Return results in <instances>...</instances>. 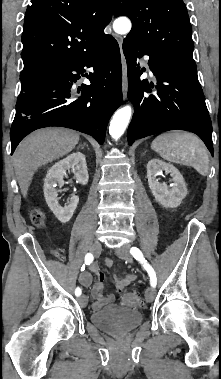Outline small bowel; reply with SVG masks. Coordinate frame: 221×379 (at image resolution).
<instances>
[{"mask_svg":"<svg viewBox=\"0 0 221 379\" xmlns=\"http://www.w3.org/2000/svg\"><path fill=\"white\" fill-rule=\"evenodd\" d=\"M107 267H112L113 262L110 259L105 261ZM89 271H84L79 277L80 283L88 287L92 284L93 276L96 278V282L92 287L91 295L94 298L93 309L99 310L107 304H110L114 301V295L112 293L103 294V283L105 280L104 274L99 270L96 264H91L89 266ZM135 279V276L132 274H125L121 277H115V288L118 292H122L126 286L132 283Z\"/></svg>","mask_w":221,"mask_h":379,"instance_id":"1","label":"small bowel"}]
</instances>
